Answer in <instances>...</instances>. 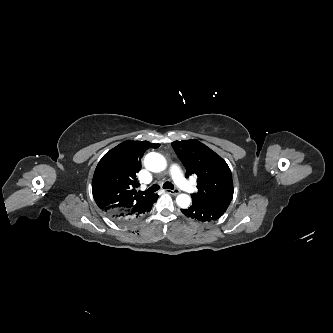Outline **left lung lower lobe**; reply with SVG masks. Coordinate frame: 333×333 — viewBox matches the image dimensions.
<instances>
[{"instance_id":"left-lung-lower-lobe-1","label":"left lung lower lobe","mask_w":333,"mask_h":333,"mask_svg":"<svg viewBox=\"0 0 333 333\" xmlns=\"http://www.w3.org/2000/svg\"><path fill=\"white\" fill-rule=\"evenodd\" d=\"M226 210L227 207L211 205L198 200H193L190 207L181 209L187 217L203 222L220 218Z\"/></svg>"}]
</instances>
